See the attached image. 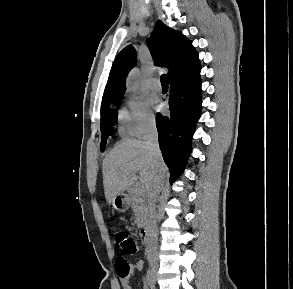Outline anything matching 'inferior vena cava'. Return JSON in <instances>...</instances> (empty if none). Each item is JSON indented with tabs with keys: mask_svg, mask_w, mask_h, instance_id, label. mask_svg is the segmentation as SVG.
<instances>
[{
	"mask_svg": "<svg viewBox=\"0 0 293 289\" xmlns=\"http://www.w3.org/2000/svg\"><path fill=\"white\" fill-rule=\"evenodd\" d=\"M143 140L145 141L146 145L149 147L152 155L154 156L155 165H156V174L147 192L148 220L146 225L148 260L151 263L156 264L158 260V256H157L158 231H157V225H156V202L164 186L165 175L159 168V161L162 160V155L159 149L158 132H157L156 124L154 121H151L146 125Z\"/></svg>",
	"mask_w": 293,
	"mask_h": 289,
	"instance_id": "inferior-vena-cava-1",
	"label": "inferior vena cava"
}]
</instances>
